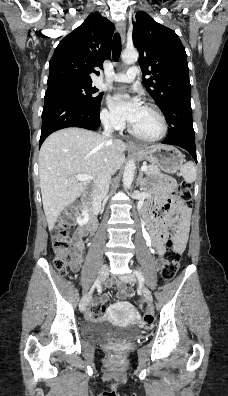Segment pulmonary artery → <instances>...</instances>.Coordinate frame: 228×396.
Here are the masks:
<instances>
[{
    "instance_id": "pulmonary-artery-1",
    "label": "pulmonary artery",
    "mask_w": 228,
    "mask_h": 396,
    "mask_svg": "<svg viewBox=\"0 0 228 396\" xmlns=\"http://www.w3.org/2000/svg\"><path fill=\"white\" fill-rule=\"evenodd\" d=\"M139 70L137 67L132 66L126 72L116 73L111 76V80L114 82H126L130 83L135 80L138 76Z\"/></svg>"
}]
</instances>
